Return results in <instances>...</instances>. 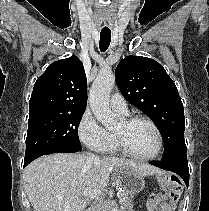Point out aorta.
Here are the masks:
<instances>
[{"mask_svg":"<svg viewBox=\"0 0 209 211\" xmlns=\"http://www.w3.org/2000/svg\"><path fill=\"white\" fill-rule=\"evenodd\" d=\"M115 84V76L111 72H101L94 80L90 94L89 104L95 118L107 129L117 125L118 116L109 106L110 92ZM112 211H118L117 208Z\"/></svg>","mask_w":209,"mask_h":211,"instance_id":"1","label":"aorta"}]
</instances>
